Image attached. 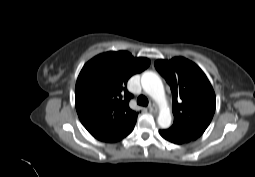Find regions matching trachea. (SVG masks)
<instances>
[{"mask_svg": "<svg viewBox=\"0 0 255 177\" xmlns=\"http://www.w3.org/2000/svg\"><path fill=\"white\" fill-rule=\"evenodd\" d=\"M137 104L142 105V106H147L148 105V99L144 95H140L137 99Z\"/></svg>", "mask_w": 255, "mask_h": 177, "instance_id": "obj_1", "label": "trachea"}]
</instances>
